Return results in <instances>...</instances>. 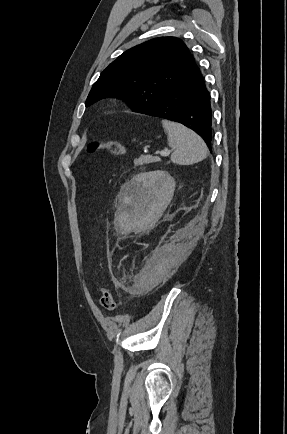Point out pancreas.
I'll use <instances>...</instances> for the list:
<instances>
[{
    "instance_id": "cf45deb5",
    "label": "pancreas",
    "mask_w": 287,
    "mask_h": 434,
    "mask_svg": "<svg viewBox=\"0 0 287 434\" xmlns=\"http://www.w3.org/2000/svg\"><path fill=\"white\" fill-rule=\"evenodd\" d=\"M160 159L158 157L152 155H141L138 159L134 160L135 166H140L144 164L159 162Z\"/></svg>"
}]
</instances>
